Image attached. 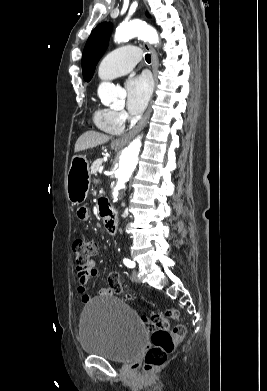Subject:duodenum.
<instances>
[{"label": "duodenum", "mask_w": 267, "mask_h": 391, "mask_svg": "<svg viewBox=\"0 0 267 391\" xmlns=\"http://www.w3.org/2000/svg\"><path fill=\"white\" fill-rule=\"evenodd\" d=\"M100 213L102 215L106 231L110 234H114L117 230V221L115 217L109 213L105 202L100 203Z\"/></svg>", "instance_id": "410a0bca"}]
</instances>
